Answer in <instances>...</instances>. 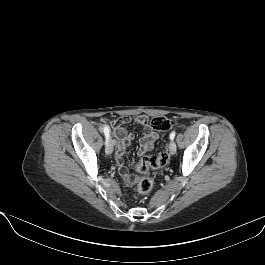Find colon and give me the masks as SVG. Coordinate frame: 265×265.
<instances>
[{"mask_svg":"<svg viewBox=\"0 0 265 265\" xmlns=\"http://www.w3.org/2000/svg\"><path fill=\"white\" fill-rule=\"evenodd\" d=\"M174 125L172 119L164 116L154 117L150 121V126L157 131H168ZM167 151H161L155 155L143 157L135 164V169L141 174L137 180V187L141 193H148L153 187L152 179L146 174L151 169H161L169 161Z\"/></svg>","mask_w":265,"mask_h":265,"instance_id":"colon-1","label":"colon"}]
</instances>
